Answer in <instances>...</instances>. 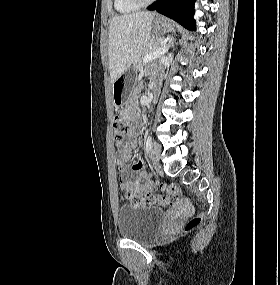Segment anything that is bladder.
I'll return each instance as SVG.
<instances>
[{"label":"bladder","mask_w":280,"mask_h":285,"mask_svg":"<svg viewBox=\"0 0 280 285\" xmlns=\"http://www.w3.org/2000/svg\"><path fill=\"white\" fill-rule=\"evenodd\" d=\"M164 213L146 205H122L117 214L120 236L135 241H150L161 230Z\"/></svg>","instance_id":"bladder-1"}]
</instances>
